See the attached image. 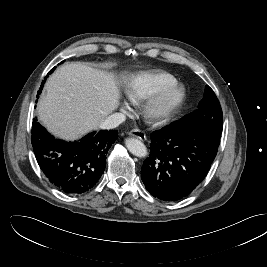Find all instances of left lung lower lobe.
<instances>
[{
    "mask_svg": "<svg viewBox=\"0 0 267 267\" xmlns=\"http://www.w3.org/2000/svg\"><path fill=\"white\" fill-rule=\"evenodd\" d=\"M220 138L208 125L183 118L152 132L141 168L146 189L164 201L188 196L210 169Z\"/></svg>",
    "mask_w": 267,
    "mask_h": 267,
    "instance_id": "1",
    "label": "left lung lower lobe"
}]
</instances>
